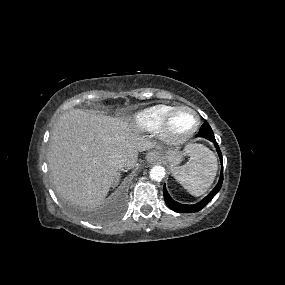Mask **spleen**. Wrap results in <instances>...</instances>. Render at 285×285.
<instances>
[{
    "mask_svg": "<svg viewBox=\"0 0 285 285\" xmlns=\"http://www.w3.org/2000/svg\"><path fill=\"white\" fill-rule=\"evenodd\" d=\"M188 162L172 168L175 179L193 196L204 194L216 176L217 159L212 151L201 144H189Z\"/></svg>",
    "mask_w": 285,
    "mask_h": 285,
    "instance_id": "obj_1",
    "label": "spleen"
}]
</instances>
